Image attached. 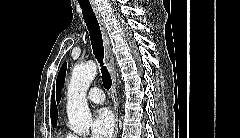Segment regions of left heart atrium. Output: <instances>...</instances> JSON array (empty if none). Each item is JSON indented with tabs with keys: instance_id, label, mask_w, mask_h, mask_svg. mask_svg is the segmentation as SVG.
I'll return each mask as SVG.
<instances>
[{
	"instance_id": "left-heart-atrium-1",
	"label": "left heart atrium",
	"mask_w": 240,
	"mask_h": 138,
	"mask_svg": "<svg viewBox=\"0 0 240 138\" xmlns=\"http://www.w3.org/2000/svg\"><path fill=\"white\" fill-rule=\"evenodd\" d=\"M114 129L113 116L107 108L99 109L91 123V133L94 138H110Z\"/></svg>"
}]
</instances>
